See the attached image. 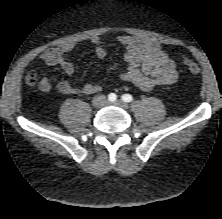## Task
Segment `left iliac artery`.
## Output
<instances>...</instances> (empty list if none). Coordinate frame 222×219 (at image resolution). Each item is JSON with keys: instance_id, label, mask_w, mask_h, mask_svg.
Listing matches in <instances>:
<instances>
[{"instance_id": "44dca946", "label": "left iliac artery", "mask_w": 222, "mask_h": 219, "mask_svg": "<svg viewBox=\"0 0 222 219\" xmlns=\"http://www.w3.org/2000/svg\"><path fill=\"white\" fill-rule=\"evenodd\" d=\"M122 101L124 102H131L133 100V97L130 94H124L121 97Z\"/></svg>"}]
</instances>
